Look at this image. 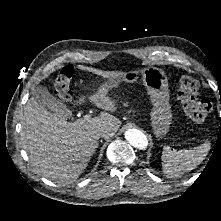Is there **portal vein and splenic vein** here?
I'll return each mask as SVG.
<instances>
[{
    "mask_svg": "<svg viewBox=\"0 0 221 221\" xmlns=\"http://www.w3.org/2000/svg\"><path fill=\"white\" fill-rule=\"evenodd\" d=\"M90 117H91V115H90V114H87V115L84 117V120H88Z\"/></svg>",
    "mask_w": 221,
    "mask_h": 221,
    "instance_id": "portal-vein-and-splenic-vein-1",
    "label": "portal vein and splenic vein"
}]
</instances>
